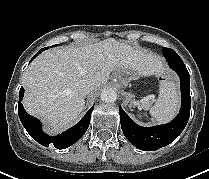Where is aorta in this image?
<instances>
[{"instance_id": "762f6f07", "label": "aorta", "mask_w": 209, "mask_h": 179, "mask_svg": "<svg viewBox=\"0 0 209 179\" xmlns=\"http://www.w3.org/2000/svg\"><path fill=\"white\" fill-rule=\"evenodd\" d=\"M101 100L106 103H113L117 100V93L113 89H104L100 96Z\"/></svg>"}]
</instances>
